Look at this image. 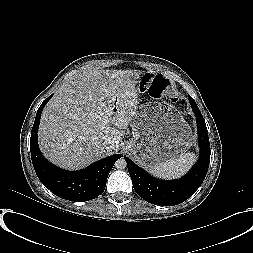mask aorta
<instances>
[{
  "instance_id": "1",
  "label": "aorta",
  "mask_w": 253,
  "mask_h": 253,
  "mask_svg": "<svg viewBox=\"0 0 253 253\" xmlns=\"http://www.w3.org/2000/svg\"><path fill=\"white\" fill-rule=\"evenodd\" d=\"M115 167L118 169V170H123L127 167V162L124 158H120L118 159L116 162H115Z\"/></svg>"
}]
</instances>
